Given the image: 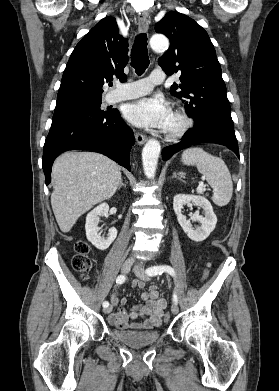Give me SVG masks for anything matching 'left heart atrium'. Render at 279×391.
<instances>
[{
    "mask_svg": "<svg viewBox=\"0 0 279 391\" xmlns=\"http://www.w3.org/2000/svg\"><path fill=\"white\" fill-rule=\"evenodd\" d=\"M126 119L140 127L166 130L172 116L171 110L160 97L138 99L125 109Z\"/></svg>",
    "mask_w": 279,
    "mask_h": 391,
    "instance_id": "1",
    "label": "left heart atrium"
}]
</instances>
